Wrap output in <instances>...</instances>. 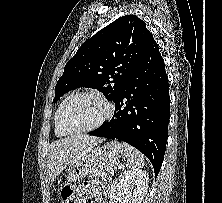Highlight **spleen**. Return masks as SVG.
<instances>
[{
  "label": "spleen",
  "mask_w": 222,
  "mask_h": 203,
  "mask_svg": "<svg viewBox=\"0 0 222 203\" xmlns=\"http://www.w3.org/2000/svg\"><path fill=\"white\" fill-rule=\"evenodd\" d=\"M126 155V166L136 169L144 166V156L134 147L127 143H123Z\"/></svg>",
  "instance_id": "spleen-1"
}]
</instances>
